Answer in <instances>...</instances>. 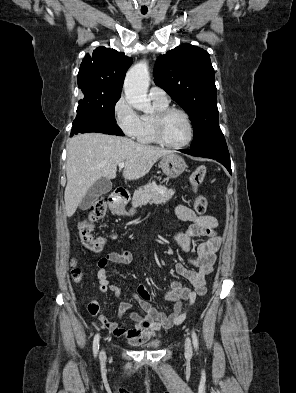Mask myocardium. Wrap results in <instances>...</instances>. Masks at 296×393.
<instances>
[{
    "label": "myocardium",
    "mask_w": 296,
    "mask_h": 393,
    "mask_svg": "<svg viewBox=\"0 0 296 393\" xmlns=\"http://www.w3.org/2000/svg\"><path fill=\"white\" fill-rule=\"evenodd\" d=\"M180 114L182 115L185 120L186 123L188 125V129H189V134L187 139L180 144H171L168 141H166V139L164 138V134H163V129H164V124L166 119L172 115V114ZM154 130H155V138L157 140V142L167 148L170 149H182L186 146H188L194 137V127H193V123L192 120L189 116V114L187 112H185L182 109L179 108H166L164 110L159 111L156 115H155V119H154Z\"/></svg>",
    "instance_id": "f54148a6"
}]
</instances>
